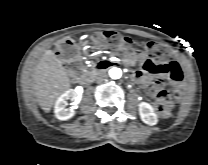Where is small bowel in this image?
Instances as JSON below:
<instances>
[{
    "instance_id": "small-bowel-1",
    "label": "small bowel",
    "mask_w": 208,
    "mask_h": 165,
    "mask_svg": "<svg viewBox=\"0 0 208 165\" xmlns=\"http://www.w3.org/2000/svg\"><path fill=\"white\" fill-rule=\"evenodd\" d=\"M125 62L128 65L139 64V70L132 74V79L145 85L151 96L157 97L160 90L159 79H168L175 86H182L188 80V73L180 62L175 60L155 61L148 59L144 50H137L126 54ZM167 115H164L165 117Z\"/></svg>"
}]
</instances>
